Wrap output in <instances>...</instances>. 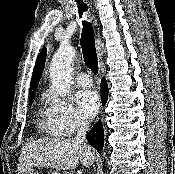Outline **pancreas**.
<instances>
[{"instance_id":"cf45deb5","label":"pancreas","mask_w":175,"mask_h":174,"mask_svg":"<svg viewBox=\"0 0 175 174\" xmlns=\"http://www.w3.org/2000/svg\"><path fill=\"white\" fill-rule=\"evenodd\" d=\"M51 174H55V173H51ZM65 174H73V173H71V172H67V173H65Z\"/></svg>"}]
</instances>
